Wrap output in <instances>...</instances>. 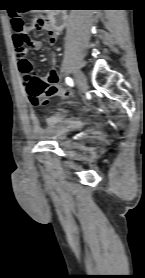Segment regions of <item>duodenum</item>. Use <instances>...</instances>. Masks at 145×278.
Returning a JSON list of instances; mask_svg holds the SVG:
<instances>
[{
	"label": "duodenum",
	"instance_id": "obj_1",
	"mask_svg": "<svg viewBox=\"0 0 145 278\" xmlns=\"http://www.w3.org/2000/svg\"><path fill=\"white\" fill-rule=\"evenodd\" d=\"M48 28L60 32L67 25V15L65 12L57 11L48 16Z\"/></svg>",
	"mask_w": 145,
	"mask_h": 278
}]
</instances>
